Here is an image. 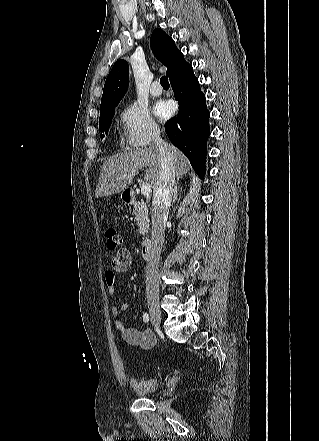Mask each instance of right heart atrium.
I'll use <instances>...</instances> for the list:
<instances>
[{"label":"right heart atrium","instance_id":"obj_1","mask_svg":"<svg viewBox=\"0 0 319 441\" xmlns=\"http://www.w3.org/2000/svg\"><path fill=\"white\" fill-rule=\"evenodd\" d=\"M119 118L121 142L125 149L141 150L158 139L159 127L144 105L137 102L128 104L121 110Z\"/></svg>","mask_w":319,"mask_h":441}]
</instances>
